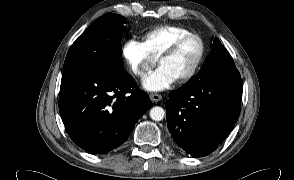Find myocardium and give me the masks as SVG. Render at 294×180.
Returning a JSON list of instances; mask_svg holds the SVG:
<instances>
[{
  "mask_svg": "<svg viewBox=\"0 0 294 180\" xmlns=\"http://www.w3.org/2000/svg\"><path fill=\"white\" fill-rule=\"evenodd\" d=\"M189 39H196L199 43V54L198 57L193 65V67L190 69V71L184 75L182 78L178 79L177 82L179 84H184L189 82L191 79L194 78V76L197 74V72L199 71L203 60L205 58V54H206V44L204 39L197 33H187L185 35H182L178 38H176L170 45L169 47L158 57V63H160L161 60L172 56L177 50L178 48L185 43L186 41H188Z\"/></svg>",
  "mask_w": 294,
  "mask_h": 180,
  "instance_id": "1",
  "label": "myocardium"
}]
</instances>
